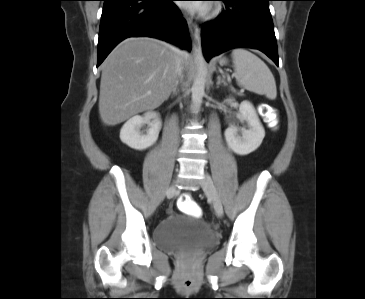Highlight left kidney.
<instances>
[{
  "label": "left kidney",
  "instance_id": "left-kidney-1",
  "mask_svg": "<svg viewBox=\"0 0 365 299\" xmlns=\"http://www.w3.org/2000/svg\"><path fill=\"white\" fill-rule=\"evenodd\" d=\"M239 112L240 119L247 122L248 129H242L240 136L238 135V128L230 126L225 130V139L233 152L239 155H247L261 145L265 131L250 102L243 101L239 105Z\"/></svg>",
  "mask_w": 365,
  "mask_h": 299
}]
</instances>
